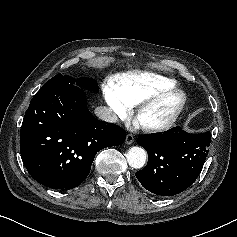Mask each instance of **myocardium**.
<instances>
[{"label":"myocardium","instance_id":"myocardium-1","mask_svg":"<svg viewBox=\"0 0 237 237\" xmlns=\"http://www.w3.org/2000/svg\"><path fill=\"white\" fill-rule=\"evenodd\" d=\"M170 97H176L178 101L169 116L164 121L159 123L141 124L144 130L148 132H160L173 126L186 105L187 96L184 91L174 87L160 91L136 105L135 118L138 120L147 109L158 105L160 102Z\"/></svg>","mask_w":237,"mask_h":237}]
</instances>
